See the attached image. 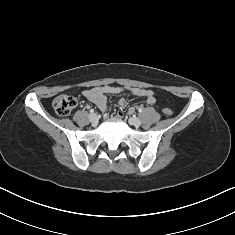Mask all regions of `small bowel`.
<instances>
[{
  "instance_id": "obj_1",
  "label": "small bowel",
  "mask_w": 235,
  "mask_h": 235,
  "mask_svg": "<svg viewBox=\"0 0 235 235\" xmlns=\"http://www.w3.org/2000/svg\"><path fill=\"white\" fill-rule=\"evenodd\" d=\"M122 90L117 87L103 86L96 87L89 90L83 91L82 95L86 99L93 102L101 111H106L108 109L107 95L118 94ZM128 91L136 97H142L148 104H154L156 102L154 93L152 90L143 89V88H129ZM119 105L125 107L127 102L124 98L119 100Z\"/></svg>"
}]
</instances>
